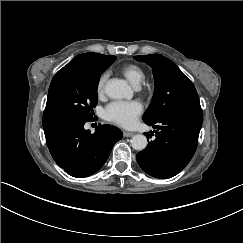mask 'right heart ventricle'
Listing matches in <instances>:
<instances>
[{
  "label": "right heart ventricle",
  "mask_w": 243,
  "mask_h": 243,
  "mask_svg": "<svg viewBox=\"0 0 243 243\" xmlns=\"http://www.w3.org/2000/svg\"><path fill=\"white\" fill-rule=\"evenodd\" d=\"M120 73L134 86L145 78L144 68L137 63H128L120 69Z\"/></svg>",
  "instance_id": "right-heart-ventricle-1"
}]
</instances>
